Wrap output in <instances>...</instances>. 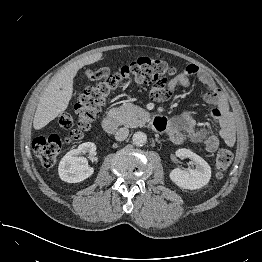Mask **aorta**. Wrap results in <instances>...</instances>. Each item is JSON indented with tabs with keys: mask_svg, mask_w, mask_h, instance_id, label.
Returning a JSON list of instances; mask_svg holds the SVG:
<instances>
[{
	"mask_svg": "<svg viewBox=\"0 0 262 262\" xmlns=\"http://www.w3.org/2000/svg\"><path fill=\"white\" fill-rule=\"evenodd\" d=\"M133 144L136 146H143L147 142V135L144 132L138 131L132 137Z\"/></svg>",
	"mask_w": 262,
	"mask_h": 262,
	"instance_id": "obj_1",
	"label": "aorta"
}]
</instances>
